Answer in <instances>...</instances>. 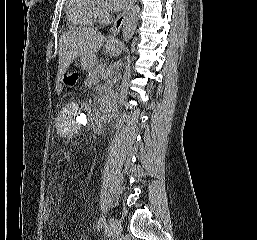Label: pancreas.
<instances>
[{
    "label": "pancreas",
    "mask_w": 257,
    "mask_h": 240,
    "mask_svg": "<svg viewBox=\"0 0 257 240\" xmlns=\"http://www.w3.org/2000/svg\"><path fill=\"white\" fill-rule=\"evenodd\" d=\"M108 66L106 64L95 65L88 72V77L86 79V85L95 86L97 85L101 79L108 78L110 74H108Z\"/></svg>",
    "instance_id": "obj_1"
}]
</instances>
